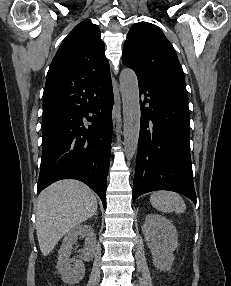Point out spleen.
<instances>
[{
    "label": "spleen",
    "mask_w": 231,
    "mask_h": 286,
    "mask_svg": "<svg viewBox=\"0 0 231 286\" xmlns=\"http://www.w3.org/2000/svg\"><path fill=\"white\" fill-rule=\"evenodd\" d=\"M151 205L162 212L183 213L186 204L183 198L172 191H155L150 196Z\"/></svg>",
    "instance_id": "3e777b00"
}]
</instances>
